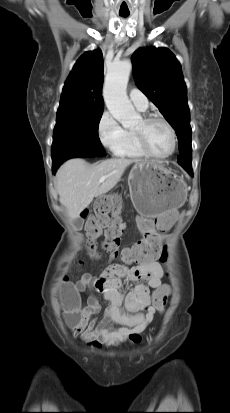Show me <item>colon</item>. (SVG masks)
Wrapping results in <instances>:
<instances>
[{
    "mask_svg": "<svg viewBox=\"0 0 230 413\" xmlns=\"http://www.w3.org/2000/svg\"><path fill=\"white\" fill-rule=\"evenodd\" d=\"M122 204L123 199L120 192H99V200L96 202L92 214L89 215L90 206H85L80 210V215L86 218L85 233L89 239V253L92 256H97L96 246L92 241L104 230L103 249L111 257H119L128 263H142L155 259L164 264L167 263L168 252L162 244L161 231H146L147 235L143 241L120 250L125 225L121 219V212L116 206ZM167 298L164 294L153 296V302L159 311L164 309ZM78 300L77 295L70 294L64 302L65 308L70 312H76ZM138 341L139 337L134 342Z\"/></svg>",
    "mask_w": 230,
    "mask_h": 413,
    "instance_id": "colon-1",
    "label": "colon"
}]
</instances>
